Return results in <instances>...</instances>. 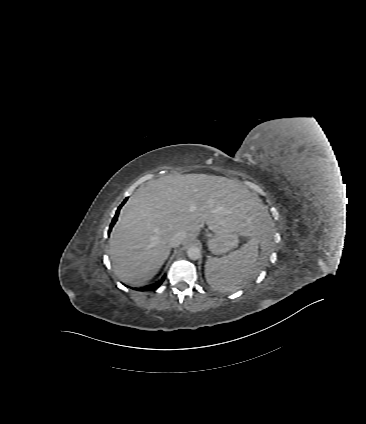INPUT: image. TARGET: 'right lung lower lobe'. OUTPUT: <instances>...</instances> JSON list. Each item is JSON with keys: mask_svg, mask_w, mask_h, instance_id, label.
I'll return each instance as SVG.
<instances>
[{"mask_svg": "<svg viewBox=\"0 0 366 424\" xmlns=\"http://www.w3.org/2000/svg\"><path fill=\"white\" fill-rule=\"evenodd\" d=\"M126 200H127V199H125V200H124V202H123V203L119 206V208H118V210H117V212H116V215L114 216V218H113V220H112V223H111V225H110V230L112 229L113 225L115 224V222H116V220H117V217H118V214H119V211H120V208L123 206V204L126 202ZM163 279H164V278H162V280H160V281H159L158 283H156V284L149 285V286H146V287H144V288H135V289H137V290H141V291H152V290H155V289H157V288L160 286V284L162 283Z\"/></svg>", "mask_w": 366, "mask_h": 424, "instance_id": "1", "label": "right lung lower lobe"}]
</instances>
